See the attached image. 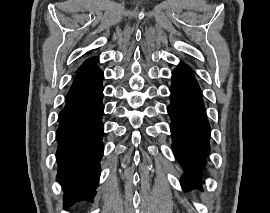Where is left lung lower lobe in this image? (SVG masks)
<instances>
[{
  "label": "left lung lower lobe",
  "mask_w": 270,
  "mask_h": 213,
  "mask_svg": "<svg viewBox=\"0 0 270 213\" xmlns=\"http://www.w3.org/2000/svg\"><path fill=\"white\" fill-rule=\"evenodd\" d=\"M170 131L173 152L186 171L181 178L183 190L200 187V171L209 154L210 126L207 120L199 85L189 67L179 65L172 73Z\"/></svg>",
  "instance_id": "left-lung-lower-lobe-1"
}]
</instances>
